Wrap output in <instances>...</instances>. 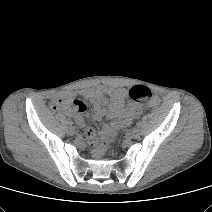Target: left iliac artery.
<instances>
[{"label": "left iliac artery", "instance_id": "44dca946", "mask_svg": "<svg viewBox=\"0 0 212 212\" xmlns=\"http://www.w3.org/2000/svg\"><path fill=\"white\" fill-rule=\"evenodd\" d=\"M136 126H137V127H140V126H141V122L138 121V122L136 123Z\"/></svg>", "mask_w": 212, "mask_h": 212}]
</instances>
